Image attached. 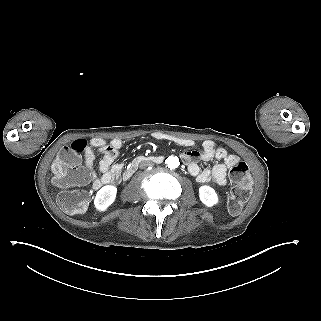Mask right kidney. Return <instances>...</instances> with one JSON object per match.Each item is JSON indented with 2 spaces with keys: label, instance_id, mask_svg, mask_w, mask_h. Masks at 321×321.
I'll list each match as a JSON object with an SVG mask.
<instances>
[{
  "label": "right kidney",
  "instance_id": "obj_1",
  "mask_svg": "<svg viewBox=\"0 0 321 321\" xmlns=\"http://www.w3.org/2000/svg\"><path fill=\"white\" fill-rule=\"evenodd\" d=\"M117 188L112 185L102 187L96 194L94 204L97 210L105 211L115 200Z\"/></svg>",
  "mask_w": 321,
  "mask_h": 321
}]
</instances>
